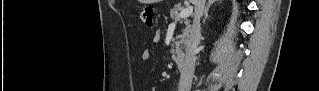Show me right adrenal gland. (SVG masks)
Returning a JSON list of instances; mask_svg holds the SVG:
<instances>
[{"label":"right adrenal gland","mask_w":319,"mask_h":91,"mask_svg":"<svg viewBox=\"0 0 319 91\" xmlns=\"http://www.w3.org/2000/svg\"><path fill=\"white\" fill-rule=\"evenodd\" d=\"M214 2H216V1H215V0H208L207 6H206L205 11H204L203 23H205V20H206L207 17H208L209 8H210V6H211Z\"/></svg>","instance_id":"obj_1"}]
</instances>
